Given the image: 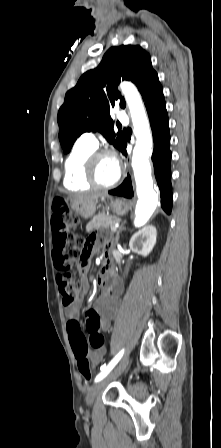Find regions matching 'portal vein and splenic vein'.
<instances>
[{
    "label": "portal vein and splenic vein",
    "instance_id": "obj_1",
    "mask_svg": "<svg viewBox=\"0 0 221 448\" xmlns=\"http://www.w3.org/2000/svg\"><path fill=\"white\" fill-rule=\"evenodd\" d=\"M118 227H119V224L116 223L114 226L111 227V230L116 231L118 229Z\"/></svg>",
    "mask_w": 221,
    "mask_h": 448
}]
</instances>
